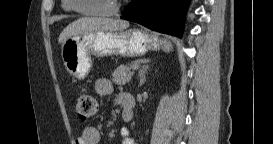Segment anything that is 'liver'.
I'll return each instance as SVG.
<instances>
[{
  "label": "liver",
  "instance_id": "obj_1",
  "mask_svg": "<svg viewBox=\"0 0 273 144\" xmlns=\"http://www.w3.org/2000/svg\"><path fill=\"white\" fill-rule=\"evenodd\" d=\"M129 27V23L120 19L84 17L70 23L60 33L59 44H63L69 37L88 31H122Z\"/></svg>",
  "mask_w": 273,
  "mask_h": 144
}]
</instances>
